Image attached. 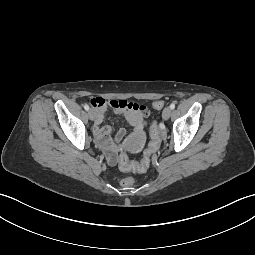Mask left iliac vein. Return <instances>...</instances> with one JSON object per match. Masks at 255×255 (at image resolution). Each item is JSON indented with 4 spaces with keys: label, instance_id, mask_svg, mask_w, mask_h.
I'll return each mask as SVG.
<instances>
[{
    "label": "left iliac vein",
    "instance_id": "4c4485c4",
    "mask_svg": "<svg viewBox=\"0 0 255 255\" xmlns=\"http://www.w3.org/2000/svg\"><path fill=\"white\" fill-rule=\"evenodd\" d=\"M171 108L170 107H165L164 108V110H163V112H162V118L164 119V120H168L169 119V117H170V115H171Z\"/></svg>",
    "mask_w": 255,
    "mask_h": 255
}]
</instances>
